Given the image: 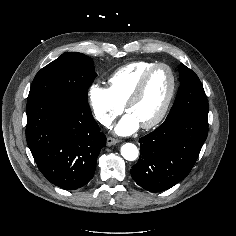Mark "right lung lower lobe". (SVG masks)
Segmentation results:
<instances>
[{"mask_svg": "<svg viewBox=\"0 0 236 236\" xmlns=\"http://www.w3.org/2000/svg\"><path fill=\"white\" fill-rule=\"evenodd\" d=\"M26 112L27 144L41 173L65 190L86 185L106 145L89 105L38 98L27 102Z\"/></svg>", "mask_w": 236, "mask_h": 236, "instance_id": "right-lung-lower-lobe-1", "label": "right lung lower lobe"}]
</instances>
